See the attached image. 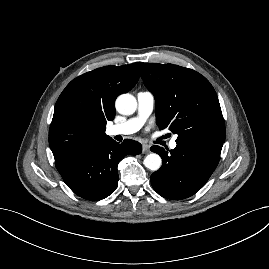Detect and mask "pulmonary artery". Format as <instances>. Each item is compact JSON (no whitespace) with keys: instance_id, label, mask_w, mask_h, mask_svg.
<instances>
[{"instance_id":"1","label":"pulmonary artery","mask_w":269,"mask_h":269,"mask_svg":"<svg viewBox=\"0 0 269 269\" xmlns=\"http://www.w3.org/2000/svg\"><path fill=\"white\" fill-rule=\"evenodd\" d=\"M137 104V116L109 127L107 130L109 135H129L137 132L153 111L155 104L154 95L149 91L139 92L137 94ZM176 146V138H173L169 142V147L175 149Z\"/></svg>"}]
</instances>
